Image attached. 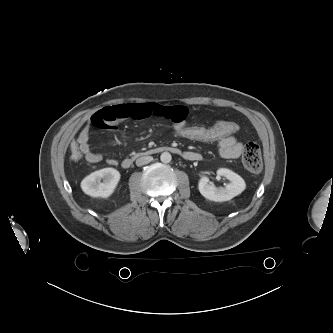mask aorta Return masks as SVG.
Instances as JSON below:
<instances>
[{"label":"aorta","mask_w":333,"mask_h":333,"mask_svg":"<svg viewBox=\"0 0 333 333\" xmlns=\"http://www.w3.org/2000/svg\"><path fill=\"white\" fill-rule=\"evenodd\" d=\"M160 160L163 162V163H169L171 162L172 160V156L169 152H163L160 156Z\"/></svg>","instance_id":"762f6f07"}]
</instances>
